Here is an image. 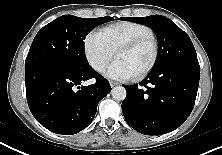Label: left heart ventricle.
I'll return each mask as SVG.
<instances>
[{
    "label": "left heart ventricle",
    "instance_id": "1",
    "mask_svg": "<svg viewBox=\"0 0 222 155\" xmlns=\"http://www.w3.org/2000/svg\"><path fill=\"white\" fill-rule=\"evenodd\" d=\"M153 54V43L148 41L134 50L120 53L117 59L122 60L133 74L136 75L149 65L153 58Z\"/></svg>",
    "mask_w": 222,
    "mask_h": 155
}]
</instances>
